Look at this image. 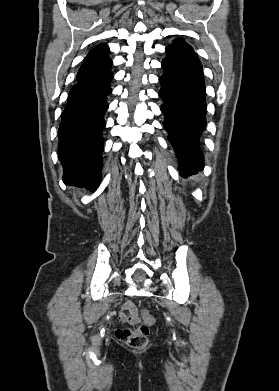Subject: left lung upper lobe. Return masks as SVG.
Listing matches in <instances>:
<instances>
[{"mask_svg":"<svg viewBox=\"0 0 279 391\" xmlns=\"http://www.w3.org/2000/svg\"><path fill=\"white\" fill-rule=\"evenodd\" d=\"M168 47L186 50L190 52L192 55L197 57V55L193 51V48L190 45H188L183 38H177L176 40H174L173 44L169 45Z\"/></svg>","mask_w":279,"mask_h":391,"instance_id":"5c2ea615","label":"left lung upper lobe"}]
</instances>
